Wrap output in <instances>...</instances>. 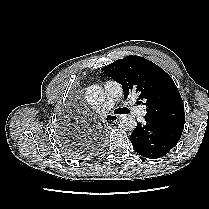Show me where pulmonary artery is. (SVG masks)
<instances>
[{
  "label": "pulmonary artery",
  "mask_w": 209,
  "mask_h": 209,
  "mask_svg": "<svg viewBox=\"0 0 209 209\" xmlns=\"http://www.w3.org/2000/svg\"><path fill=\"white\" fill-rule=\"evenodd\" d=\"M104 89L106 93V100L99 108V112L101 113L111 110L115 103L122 97V88L115 81H106L104 84ZM132 111L140 118L144 117L146 114V109L144 106H133Z\"/></svg>",
  "instance_id": "1"
}]
</instances>
